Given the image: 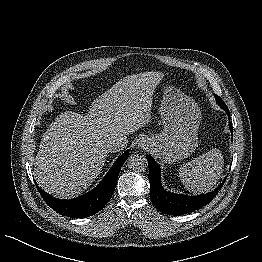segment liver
Returning <instances> with one entry per match:
<instances>
[{
  "mask_svg": "<svg viewBox=\"0 0 262 262\" xmlns=\"http://www.w3.org/2000/svg\"><path fill=\"white\" fill-rule=\"evenodd\" d=\"M164 74L151 71L126 76L96 98L83 116L61 113L42 137L34 162L36 182L60 198L82 193L104 166L108 143L145 126L151 97Z\"/></svg>",
  "mask_w": 262,
  "mask_h": 262,
  "instance_id": "6515ba94",
  "label": "liver"
}]
</instances>
